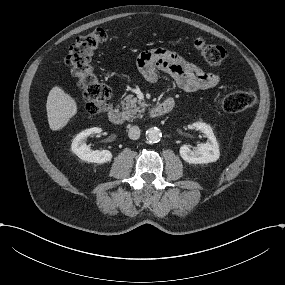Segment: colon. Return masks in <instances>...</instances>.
I'll list each match as a JSON object with an SVG mask.
<instances>
[{"label":"colon","mask_w":285,"mask_h":285,"mask_svg":"<svg viewBox=\"0 0 285 285\" xmlns=\"http://www.w3.org/2000/svg\"><path fill=\"white\" fill-rule=\"evenodd\" d=\"M107 37V31L102 28L79 36L70 47L65 59L82 91L89 117H95L109 107L108 100L111 91L97 78L92 66L95 51L106 41ZM193 44L205 61L212 66L220 65L226 58V50L220 45L207 43L201 38L194 39ZM256 101L257 96L254 91L236 90L222 96L220 106L226 112L238 113L253 107Z\"/></svg>","instance_id":"obj_1"}]
</instances>
